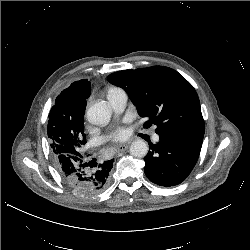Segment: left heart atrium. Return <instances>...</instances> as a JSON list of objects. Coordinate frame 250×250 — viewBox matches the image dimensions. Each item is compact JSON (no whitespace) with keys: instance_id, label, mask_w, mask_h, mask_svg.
<instances>
[{"instance_id":"1","label":"left heart atrium","mask_w":250,"mask_h":250,"mask_svg":"<svg viewBox=\"0 0 250 250\" xmlns=\"http://www.w3.org/2000/svg\"><path fill=\"white\" fill-rule=\"evenodd\" d=\"M128 131L124 127H117L106 137L108 140L119 142L128 137Z\"/></svg>"}]
</instances>
